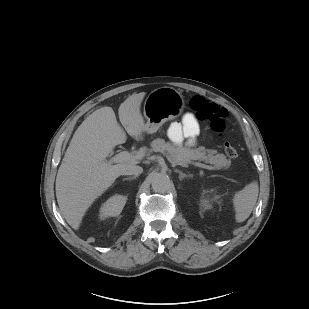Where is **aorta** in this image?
Wrapping results in <instances>:
<instances>
[{
    "instance_id": "1",
    "label": "aorta",
    "mask_w": 309,
    "mask_h": 309,
    "mask_svg": "<svg viewBox=\"0 0 309 309\" xmlns=\"http://www.w3.org/2000/svg\"><path fill=\"white\" fill-rule=\"evenodd\" d=\"M152 188L155 192H166L170 187V179L165 174H155L151 180Z\"/></svg>"
}]
</instances>
